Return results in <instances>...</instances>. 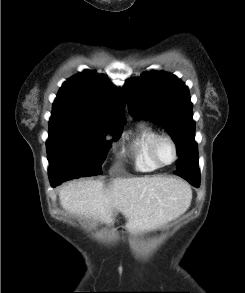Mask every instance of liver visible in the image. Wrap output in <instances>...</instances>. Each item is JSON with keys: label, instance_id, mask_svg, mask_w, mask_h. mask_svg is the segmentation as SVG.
Masks as SVG:
<instances>
[{"label": "liver", "instance_id": "obj_1", "mask_svg": "<svg viewBox=\"0 0 245 293\" xmlns=\"http://www.w3.org/2000/svg\"><path fill=\"white\" fill-rule=\"evenodd\" d=\"M190 188L173 177L115 178L72 181L59 190L61 206L68 212L113 223L121 212L132 233L153 231L189 208Z\"/></svg>", "mask_w": 245, "mask_h": 293}]
</instances>
